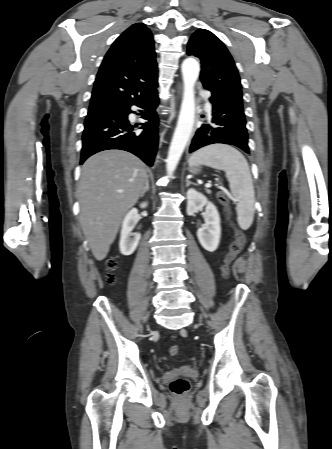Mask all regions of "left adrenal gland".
I'll return each instance as SVG.
<instances>
[{
	"mask_svg": "<svg viewBox=\"0 0 332 449\" xmlns=\"http://www.w3.org/2000/svg\"><path fill=\"white\" fill-rule=\"evenodd\" d=\"M190 184L196 185L195 183L191 182L189 179H186V187H188Z\"/></svg>",
	"mask_w": 332,
	"mask_h": 449,
	"instance_id": "obj_1",
	"label": "left adrenal gland"
}]
</instances>
